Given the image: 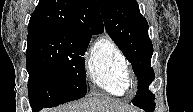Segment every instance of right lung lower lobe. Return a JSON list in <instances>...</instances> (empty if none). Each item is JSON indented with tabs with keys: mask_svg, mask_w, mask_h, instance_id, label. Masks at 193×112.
Here are the masks:
<instances>
[{
	"mask_svg": "<svg viewBox=\"0 0 193 112\" xmlns=\"http://www.w3.org/2000/svg\"><path fill=\"white\" fill-rule=\"evenodd\" d=\"M40 109L32 107L33 112H38Z\"/></svg>",
	"mask_w": 193,
	"mask_h": 112,
	"instance_id": "obj_1",
	"label": "right lung lower lobe"
}]
</instances>
